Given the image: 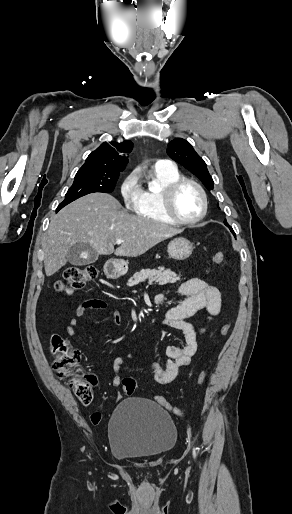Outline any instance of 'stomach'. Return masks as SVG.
I'll list each match as a JSON object with an SVG mask.
<instances>
[{
    "instance_id": "0dacf381",
    "label": "stomach",
    "mask_w": 292,
    "mask_h": 514,
    "mask_svg": "<svg viewBox=\"0 0 292 514\" xmlns=\"http://www.w3.org/2000/svg\"><path fill=\"white\" fill-rule=\"evenodd\" d=\"M169 258L173 260H186L193 252V246L186 238H175L169 242L167 248ZM104 274L106 278L117 280L123 274V266L121 260H107L104 266Z\"/></svg>"
}]
</instances>
